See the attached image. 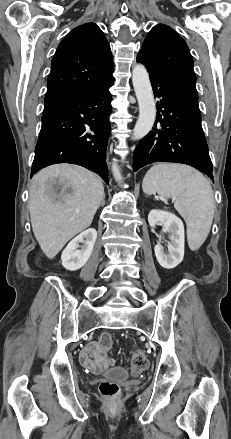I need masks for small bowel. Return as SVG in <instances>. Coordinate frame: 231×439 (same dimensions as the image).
Listing matches in <instances>:
<instances>
[{
    "label": "small bowel",
    "mask_w": 231,
    "mask_h": 439,
    "mask_svg": "<svg viewBox=\"0 0 231 439\" xmlns=\"http://www.w3.org/2000/svg\"><path fill=\"white\" fill-rule=\"evenodd\" d=\"M80 363L92 373H99L113 363L105 352L100 349L99 342L87 344L79 353Z\"/></svg>",
    "instance_id": "small-bowel-1"
}]
</instances>
